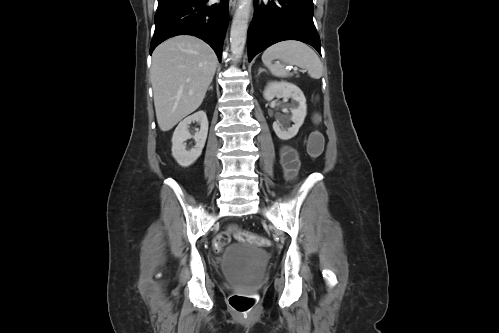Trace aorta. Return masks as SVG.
Segmentation results:
<instances>
[{
    "label": "aorta",
    "mask_w": 499,
    "mask_h": 333,
    "mask_svg": "<svg viewBox=\"0 0 499 333\" xmlns=\"http://www.w3.org/2000/svg\"><path fill=\"white\" fill-rule=\"evenodd\" d=\"M251 3L252 0H239L238 8L234 14L230 31V49L237 58L241 57L244 50Z\"/></svg>",
    "instance_id": "762f6f07"
}]
</instances>
